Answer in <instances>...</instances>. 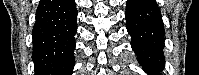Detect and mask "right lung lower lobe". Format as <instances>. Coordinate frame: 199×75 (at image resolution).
Here are the masks:
<instances>
[{
  "instance_id": "1",
  "label": "right lung lower lobe",
  "mask_w": 199,
  "mask_h": 75,
  "mask_svg": "<svg viewBox=\"0 0 199 75\" xmlns=\"http://www.w3.org/2000/svg\"><path fill=\"white\" fill-rule=\"evenodd\" d=\"M33 28L35 75H71L75 64L74 0H40Z\"/></svg>"
}]
</instances>
